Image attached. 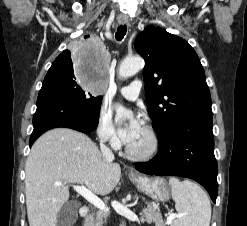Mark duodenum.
<instances>
[{"label":"duodenum","instance_id":"obj_1","mask_svg":"<svg viewBox=\"0 0 247 226\" xmlns=\"http://www.w3.org/2000/svg\"><path fill=\"white\" fill-rule=\"evenodd\" d=\"M90 215V210L88 207H82L80 209V216L83 218V219H87Z\"/></svg>","mask_w":247,"mask_h":226}]
</instances>
